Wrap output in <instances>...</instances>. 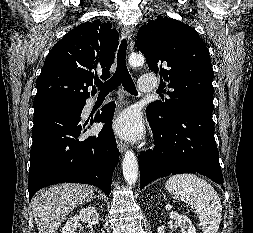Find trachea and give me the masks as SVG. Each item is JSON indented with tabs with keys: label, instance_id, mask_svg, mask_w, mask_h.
Returning <instances> with one entry per match:
<instances>
[{
	"label": "trachea",
	"instance_id": "obj_1",
	"mask_svg": "<svg viewBox=\"0 0 253 233\" xmlns=\"http://www.w3.org/2000/svg\"><path fill=\"white\" fill-rule=\"evenodd\" d=\"M126 50L127 41L126 39H123L117 53V69L115 73L108 81L104 83L100 80L95 81V85L99 88L100 94H108L121 84L124 89L130 94H138L135 84L126 66Z\"/></svg>",
	"mask_w": 253,
	"mask_h": 233
}]
</instances>
